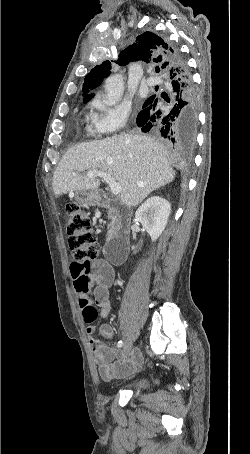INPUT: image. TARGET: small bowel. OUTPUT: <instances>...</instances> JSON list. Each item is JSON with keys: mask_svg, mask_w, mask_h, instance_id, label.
I'll use <instances>...</instances> for the list:
<instances>
[{"mask_svg": "<svg viewBox=\"0 0 250 454\" xmlns=\"http://www.w3.org/2000/svg\"><path fill=\"white\" fill-rule=\"evenodd\" d=\"M69 271L80 307L83 309L86 305L95 304L99 308V316L106 318L111 309L109 296L115 278L113 267L103 260L73 261ZM93 285L95 288L92 297L91 287ZM87 331L91 335L94 361L99 376L104 381L126 377L135 372L141 364L142 356L138 350L129 354L120 352L97 339L93 335L95 331L93 326L90 325ZM99 332L103 338L110 339L114 334V329L110 324H103L100 326Z\"/></svg>", "mask_w": 250, "mask_h": 454, "instance_id": "small-bowel-1", "label": "small bowel"}]
</instances>
